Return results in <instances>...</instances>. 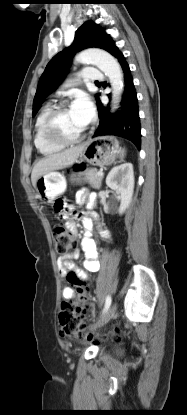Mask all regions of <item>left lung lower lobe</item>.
<instances>
[{
	"mask_svg": "<svg viewBox=\"0 0 187 415\" xmlns=\"http://www.w3.org/2000/svg\"><path fill=\"white\" fill-rule=\"evenodd\" d=\"M107 51L115 58H117L118 62L121 65L125 82V90L121 102V110L118 111L115 115L109 114V107H103L99 98L97 99L100 122L98 128L94 133V137L106 135L125 137L132 141L140 150L141 127L139 120L137 95L129 65L125 61L123 54L115 46L114 42H112ZM108 96L110 97V95Z\"/></svg>",
	"mask_w": 187,
	"mask_h": 415,
	"instance_id": "obj_1",
	"label": "left lung lower lobe"
}]
</instances>
